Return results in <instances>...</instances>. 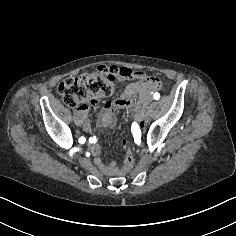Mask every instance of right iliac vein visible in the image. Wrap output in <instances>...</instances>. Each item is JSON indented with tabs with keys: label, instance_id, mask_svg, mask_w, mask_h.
<instances>
[{
	"label": "right iliac vein",
	"instance_id": "1",
	"mask_svg": "<svg viewBox=\"0 0 236 236\" xmlns=\"http://www.w3.org/2000/svg\"><path fill=\"white\" fill-rule=\"evenodd\" d=\"M82 126L84 127V128H83V131H84V132H87V131H88V128L86 127L87 125L84 123Z\"/></svg>",
	"mask_w": 236,
	"mask_h": 236
}]
</instances>
